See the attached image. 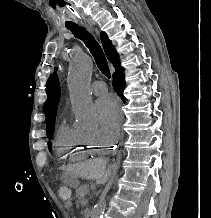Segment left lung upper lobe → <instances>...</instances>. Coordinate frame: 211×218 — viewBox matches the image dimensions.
<instances>
[{"label":"left lung upper lobe","instance_id":"1","mask_svg":"<svg viewBox=\"0 0 211 218\" xmlns=\"http://www.w3.org/2000/svg\"><path fill=\"white\" fill-rule=\"evenodd\" d=\"M50 85H51V79L49 78L48 81H47V84H46V92H47V95H48V99L47 101L45 102V105H44V112H45V115L48 117V101H49V94H50Z\"/></svg>","mask_w":211,"mask_h":218}]
</instances>
